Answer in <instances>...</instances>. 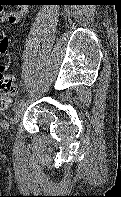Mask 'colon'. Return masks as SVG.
<instances>
[{"mask_svg": "<svg viewBox=\"0 0 121 197\" xmlns=\"http://www.w3.org/2000/svg\"><path fill=\"white\" fill-rule=\"evenodd\" d=\"M16 93V85L13 77L0 65V110L7 109Z\"/></svg>", "mask_w": 121, "mask_h": 197, "instance_id": "colon-1", "label": "colon"}]
</instances>
